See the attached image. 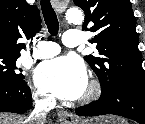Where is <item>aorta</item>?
<instances>
[{"mask_svg":"<svg viewBox=\"0 0 145 124\" xmlns=\"http://www.w3.org/2000/svg\"><path fill=\"white\" fill-rule=\"evenodd\" d=\"M66 17L70 23H80L83 20V14L78 9H69L66 13Z\"/></svg>","mask_w":145,"mask_h":124,"instance_id":"obj_1","label":"aorta"}]
</instances>
